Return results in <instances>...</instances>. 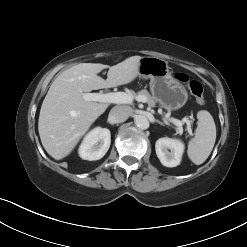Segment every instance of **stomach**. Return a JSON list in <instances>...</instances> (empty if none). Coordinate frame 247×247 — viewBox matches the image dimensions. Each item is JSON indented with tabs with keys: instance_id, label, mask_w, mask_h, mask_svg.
<instances>
[{
	"instance_id": "stomach-1",
	"label": "stomach",
	"mask_w": 247,
	"mask_h": 247,
	"mask_svg": "<svg viewBox=\"0 0 247 247\" xmlns=\"http://www.w3.org/2000/svg\"><path fill=\"white\" fill-rule=\"evenodd\" d=\"M139 77L150 79L152 97L163 108L174 111L186 104L187 90L172 76L167 61L158 57H142L139 63Z\"/></svg>"
}]
</instances>
